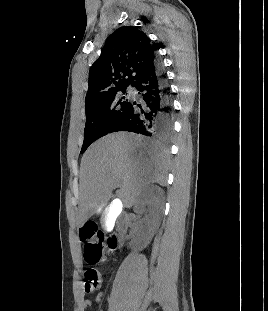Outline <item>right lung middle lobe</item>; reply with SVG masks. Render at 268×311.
I'll return each instance as SVG.
<instances>
[{"instance_id": "1", "label": "right lung middle lobe", "mask_w": 268, "mask_h": 311, "mask_svg": "<svg viewBox=\"0 0 268 311\" xmlns=\"http://www.w3.org/2000/svg\"><path fill=\"white\" fill-rule=\"evenodd\" d=\"M126 95V88L115 91L86 110L81 153L94 141L110 133L129 102Z\"/></svg>"}]
</instances>
